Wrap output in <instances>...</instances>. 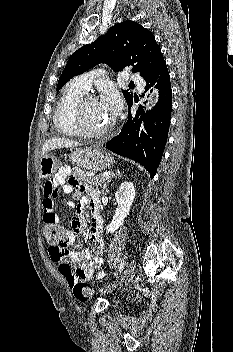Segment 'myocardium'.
<instances>
[{
	"mask_svg": "<svg viewBox=\"0 0 233 352\" xmlns=\"http://www.w3.org/2000/svg\"><path fill=\"white\" fill-rule=\"evenodd\" d=\"M97 100V97L86 93L83 95L77 102L75 108H74V114H73V121L74 125L79 132L80 135L86 136V137H101L109 133L113 126L114 122H112L107 128L102 129V130H92L89 129L84 122V107L86 103L89 101H94Z\"/></svg>",
	"mask_w": 233,
	"mask_h": 352,
	"instance_id": "1",
	"label": "myocardium"
}]
</instances>
